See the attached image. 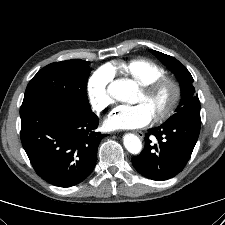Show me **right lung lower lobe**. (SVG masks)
<instances>
[{"mask_svg":"<svg viewBox=\"0 0 225 225\" xmlns=\"http://www.w3.org/2000/svg\"><path fill=\"white\" fill-rule=\"evenodd\" d=\"M21 142L36 173L59 187H70L90 175L105 135L99 119L67 104L49 101L22 103Z\"/></svg>","mask_w":225,"mask_h":225,"instance_id":"98d812e1","label":"right lung lower lobe"}]
</instances>
